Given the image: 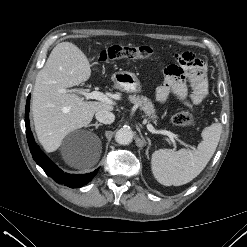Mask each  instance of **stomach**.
I'll use <instances>...</instances> for the list:
<instances>
[{"label": "stomach", "mask_w": 247, "mask_h": 247, "mask_svg": "<svg viewBox=\"0 0 247 247\" xmlns=\"http://www.w3.org/2000/svg\"><path fill=\"white\" fill-rule=\"evenodd\" d=\"M114 86L127 93H140L142 85L134 73L128 71L116 72L112 75Z\"/></svg>", "instance_id": "1"}]
</instances>
